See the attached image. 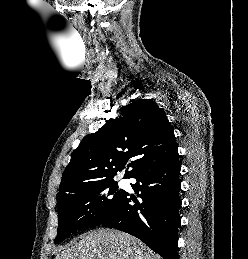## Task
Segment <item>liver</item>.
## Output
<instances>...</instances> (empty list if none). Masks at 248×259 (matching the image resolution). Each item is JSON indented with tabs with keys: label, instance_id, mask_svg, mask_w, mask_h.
<instances>
[{
	"label": "liver",
	"instance_id": "1",
	"mask_svg": "<svg viewBox=\"0 0 248 259\" xmlns=\"http://www.w3.org/2000/svg\"><path fill=\"white\" fill-rule=\"evenodd\" d=\"M54 259H160L149 247L129 234L96 229L65 248Z\"/></svg>",
	"mask_w": 248,
	"mask_h": 259
}]
</instances>
